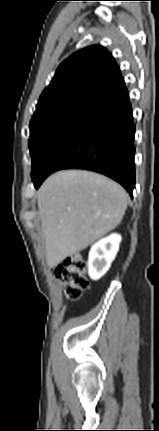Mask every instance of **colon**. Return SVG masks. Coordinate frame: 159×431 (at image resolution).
<instances>
[{
    "instance_id": "colon-1",
    "label": "colon",
    "mask_w": 159,
    "mask_h": 431,
    "mask_svg": "<svg viewBox=\"0 0 159 431\" xmlns=\"http://www.w3.org/2000/svg\"><path fill=\"white\" fill-rule=\"evenodd\" d=\"M87 270L86 261L81 254H73L65 258L56 267V277L71 300H78L88 289Z\"/></svg>"
}]
</instances>
